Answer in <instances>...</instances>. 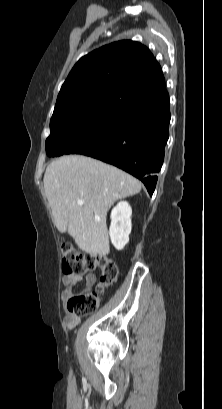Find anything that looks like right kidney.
I'll use <instances>...</instances> for the list:
<instances>
[{
	"label": "right kidney",
	"instance_id": "ca27d5eb",
	"mask_svg": "<svg viewBox=\"0 0 222 409\" xmlns=\"http://www.w3.org/2000/svg\"><path fill=\"white\" fill-rule=\"evenodd\" d=\"M131 214L132 209L126 201H120L112 209L109 235L117 250H122L129 242V234L132 229Z\"/></svg>",
	"mask_w": 222,
	"mask_h": 409
}]
</instances>
